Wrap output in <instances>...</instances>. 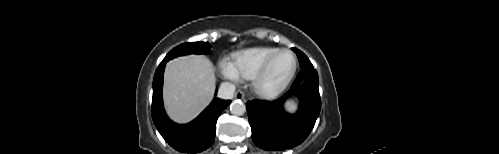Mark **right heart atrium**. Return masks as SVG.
I'll return each instance as SVG.
<instances>
[{
  "label": "right heart atrium",
  "mask_w": 499,
  "mask_h": 154,
  "mask_svg": "<svg viewBox=\"0 0 499 154\" xmlns=\"http://www.w3.org/2000/svg\"><path fill=\"white\" fill-rule=\"evenodd\" d=\"M220 74L231 80H238L239 76L229 60H222L219 64Z\"/></svg>",
  "instance_id": "obj_1"
}]
</instances>
